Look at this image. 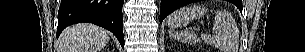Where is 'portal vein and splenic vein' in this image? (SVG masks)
Wrapping results in <instances>:
<instances>
[{
  "instance_id": "1",
  "label": "portal vein and splenic vein",
  "mask_w": 305,
  "mask_h": 52,
  "mask_svg": "<svg viewBox=\"0 0 305 52\" xmlns=\"http://www.w3.org/2000/svg\"><path fill=\"white\" fill-rule=\"evenodd\" d=\"M195 31H196V32H199V31H200V29H195Z\"/></svg>"
}]
</instances>
